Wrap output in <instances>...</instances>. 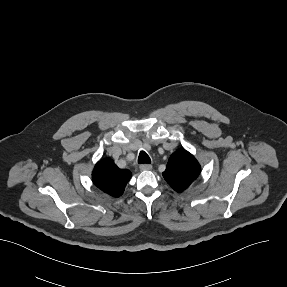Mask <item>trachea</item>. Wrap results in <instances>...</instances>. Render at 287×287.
<instances>
[{"label":"trachea","instance_id":"trachea-1","mask_svg":"<svg viewBox=\"0 0 287 287\" xmlns=\"http://www.w3.org/2000/svg\"><path fill=\"white\" fill-rule=\"evenodd\" d=\"M138 163L139 164H150L151 163V159L148 156V154L144 151H141L139 153V157H138Z\"/></svg>","mask_w":287,"mask_h":287}]
</instances>
